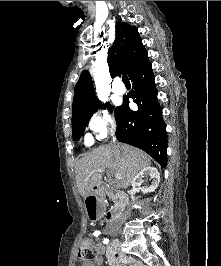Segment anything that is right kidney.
I'll use <instances>...</instances> for the list:
<instances>
[{
    "mask_svg": "<svg viewBox=\"0 0 221 266\" xmlns=\"http://www.w3.org/2000/svg\"><path fill=\"white\" fill-rule=\"evenodd\" d=\"M145 181L150 182V184L141 187V185ZM149 178V179H148ZM160 182V174L155 167H145L142 169L133 179L132 184L137 187L140 191L147 193V192H154L155 189L158 187Z\"/></svg>",
    "mask_w": 221,
    "mask_h": 266,
    "instance_id": "1",
    "label": "right kidney"
}]
</instances>
